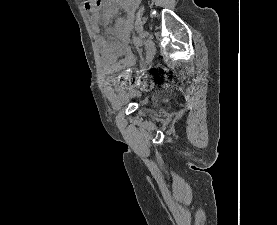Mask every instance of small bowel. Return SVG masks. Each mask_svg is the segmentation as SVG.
<instances>
[{
	"label": "small bowel",
	"mask_w": 277,
	"mask_h": 225,
	"mask_svg": "<svg viewBox=\"0 0 277 225\" xmlns=\"http://www.w3.org/2000/svg\"><path fill=\"white\" fill-rule=\"evenodd\" d=\"M138 2L139 0H109L102 6L101 12L99 11L101 5L86 4L91 14V28L96 34V42L103 58L106 75L104 90L108 100L113 104L124 100L126 90L123 87L114 88L112 86V73L124 67H133L136 63V57L127 40ZM117 7L123 8L126 17L118 18L114 27L102 32L101 27L108 25L116 13Z\"/></svg>",
	"instance_id": "c3829d8e"
}]
</instances>
